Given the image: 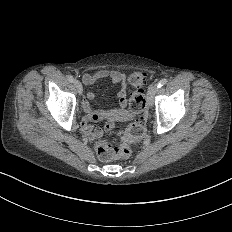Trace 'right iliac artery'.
<instances>
[{
    "mask_svg": "<svg viewBox=\"0 0 232 232\" xmlns=\"http://www.w3.org/2000/svg\"><path fill=\"white\" fill-rule=\"evenodd\" d=\"M68 80H69V82H71V83L75 82L74 77H73V76H71V75L68 77Z\"/></svg>",
    "mask_w": 232,
    "mask_h": 232,
    "instance_id": "right-iliac-artery-1",
    "label": "right iliac artery"
}]
</instances>
